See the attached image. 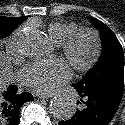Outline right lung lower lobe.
I'll return each mask as SVG.
<instances>
[{
	"label": "right lung lower lobe",
	"instance_id": "obj_1",
	"mask_svg": "<svg viewBox=\"0 0 125 125\" xmlns=\"http://www.w3.org/2000/svg\"><path fill=\"white\" fill-rule=\"evenodd\" d=\"M17 87L10 85L2 94L3 103L0 105V125H18L19 109L27 101L33 100L28 92L19 94Z\"/></svg>",
	"mask_w": 125,
	"mask_h": 125
}]
</instances>
